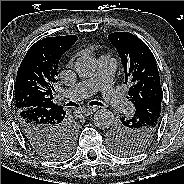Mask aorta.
I'll list each match as a JSON object with an SVG mask.
<instances>
[{
	"mask_svg": "<svg viewBox=\"0 0 184 184\" xmlns=\"http://www.w3.org/2000/svg\"><path fill=\"white\" fill-rule=\"evenodd\" d=\"M98 67L97 60L89 55L81 56L76 60L75 70L79 77L89 78L93 76ZM93 121L96 127L108 129L114 122V114L107 108L95 112Z\"/></svg>",
	"mask_w": 184,
	"mask_h": 184,
	"instance_id": "aorta-1",
	"label": "aorta"
}]
</instances>
